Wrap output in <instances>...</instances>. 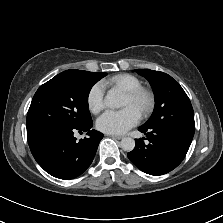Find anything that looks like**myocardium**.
Returning a JSON list of instances; mask_svg holds the SVG:
<instances>
[{"mask_svg":"<svg viewBox=\"0 0 223 223\" xmlns=\"http://www.w3.org/2000/svg\"><path fill=\"white\" fill-rule=\"evenodd\" d=\"M126 96L133 102L140 103V114L147 115L152 112L155 105L154 95L147 89L140 88L136 91L129 92Z\"/></svg>","mask_w":223,"mask_h":223,"instance_id":"1","label":"myocardium"}]
</instances>
